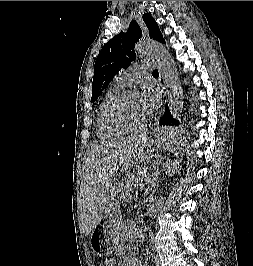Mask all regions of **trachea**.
I'll return each mask as SVG.
<instances>
[{
    "mask_svg": "<svg viewBox=\"0 0 253 266\" xmlns=\"http://www.w3.org/2000/svg\"><path fill=\"white\" fill-rule=\"evenodd\" d=\"M152 74H153V75H158V74H159V73H158V70H154Z\"/></svg>",
    "mask_w": 253,
    "mask_h": 266,
    "instance_id": "3493384b",
    "label": "trachea"
}]
</instances>
